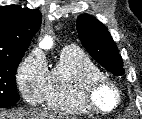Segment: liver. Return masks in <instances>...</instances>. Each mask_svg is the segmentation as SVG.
Returning <instances> with one entry per match:
<instances>
[{
  "mask_svg": "<svg viewBox=\"0 0 142 119\" xmlns=\"http://www.w3.org/2000/svg\"><path fill=\"white\" fill-rule=\"evenodd\" d=\"M64 114L47 110L31 109L17 111L14 114L1 113L0 119H68Z\"/></svg>",
  "mask_w": 142,
  "mask_h": 119,
  "instance_id": "1",
  "label": "liver"
}]
</instances>
